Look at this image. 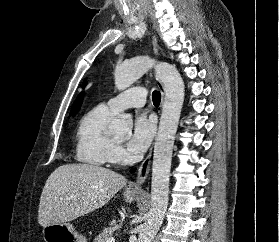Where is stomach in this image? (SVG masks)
Returning a JSON list of instances; mask_svg holds the SVG:
<instances>
[{
	"label": "stomach",
	"mask_w": 279,
	"mask_h": 242,
	"mask_svg": "<svg viewBox=\"0 0 279 242\" xmlns=\"http://www.w3.org/2000/svg\"><path fill=\"white\" fill-rule=\"evenodd\" d=\"M137 198L136 193H124L127 202H133ZM42 235L45 242H85V238L70 223L49 224L43 228Z\"/></svg>",
	"instance_id": "stomach-1"
}]
</instances>
